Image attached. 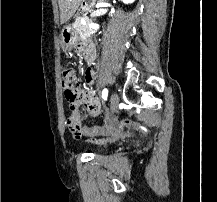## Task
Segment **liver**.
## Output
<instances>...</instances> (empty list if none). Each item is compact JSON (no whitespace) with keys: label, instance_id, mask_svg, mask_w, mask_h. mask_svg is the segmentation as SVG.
<instances>
[{"label":"liver","instance_id":"liver-1","mask_svg":"<svg viewBox=\"0 0 217 202\" xmlns=\"http://www.w3.org/2000/svg\"><path fill=\"white\" fill-rule=\"evenodd\" d=\"M81 0H58L60 10V24L68 22L80 6Z\"/></svg>","mask_w":217,"mask_h":202}]
</instances>
